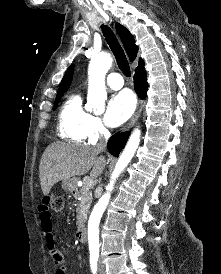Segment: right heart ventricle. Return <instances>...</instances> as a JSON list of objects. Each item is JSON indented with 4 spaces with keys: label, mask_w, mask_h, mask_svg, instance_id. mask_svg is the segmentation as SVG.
<instances>
[{
    "label": "right heart ventricle",
    "mask_w": 221,
    "mask_h": 274,
    "mask_svg": "<svg viewBox=\"0 0 221 274\" xmlns=\"http://www.w3.org/2000/svg\"><path fill=\"white\" fill-rule=\"evenodd\" d=\"M91 115L83 108L81 96L71 94L62 104L58 115V131L61 138L83 143L87 139V126Z\"/></svg>",
    "instance_id": "right-heart-ventricle-1"
}]
</instances>
